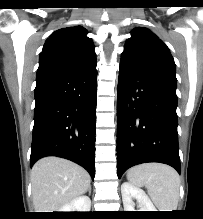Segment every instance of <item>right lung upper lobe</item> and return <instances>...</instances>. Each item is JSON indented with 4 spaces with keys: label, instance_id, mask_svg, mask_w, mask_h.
<instances>
[{
    "label": "right lung upper lobe",
    "instance_id": "right-lung-upper-lobe-1",
    "mask_svg": "<svg viewBox=\"0 0 203 219\" xmlns=\"http://www.w3.org/2000/svg\"><path fill=\"white\" fill-rule=\"evenodd\" d=\"M82 26L59 29L46 40L40 53L38 73L88 67L96 63L94 45Z\"/></svg>",
    "mask_w": 203,
    "mask_h": 219
}]
</instances>
